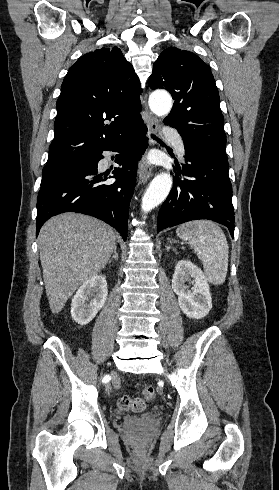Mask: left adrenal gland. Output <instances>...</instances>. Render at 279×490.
Returning a JSON list of instances; mask_svg holds the SVG:
<instances>
[{"instance_id": "left-adrenal-gland-1", "label": "left adrenal gland", "mask_w": 279, "mask_h": 490, "mask_svg": "<svg viewBox=\"0 0 279 490\" xmlns=\"http://www.w3.org/2000/svg\"><path fill=\"white\" fill-rule=\"evenodd\" d=\"M167 252H169V250H171L172 246H165ZM173 252H176V248H173Z\"/></svg>"}]
</instances>
